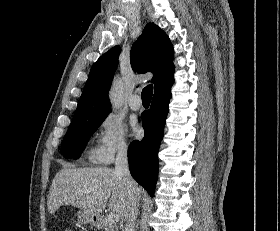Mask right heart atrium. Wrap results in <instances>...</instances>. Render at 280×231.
Returning a JSON list of instances; mask_svg holds the SVG:
<instances>
[{"mask_svg":"<svg viewBox=\"0 0 280 231\" xmlns=\"http://www.w3.org/2000/svg\"><path fill=\"white\" fill-rule=\"evenodd\" d=\"M129 148L130 143L122 123L111 116L102 120L97 147L93 152L94 159L99 163L108 164L117 154L125 153Z\"/></svg>","mask_w":280,"mask_h":231,"instance_id":"obj_1","label":"right heart atrium"}]
</instances>
